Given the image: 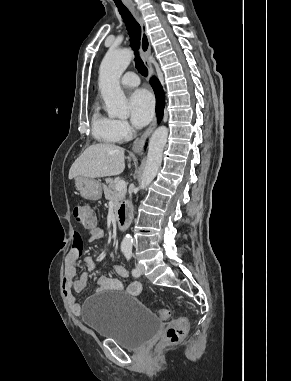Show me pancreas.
Listing matches in <instances>:
<instances>
[{"label": "pancreas", "instance_id": "obj_1", "mask_svg": "<svg viewBox=\"0 0 291 381\" xmlns=\"http://www.w3.org/2000/svg\"><path fill=\"white\" fill-rule=\"evenodd\" d=\"M106 184L103 185L105 198L107 200L114 199L115 206L117 207L119 205V202L124 200L126 195V189L123 190H116L115 188V182L113 179H106Z\"/></svg>", "mask_w": 291, "mask_h": 381}]
</instances>
